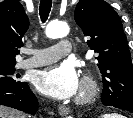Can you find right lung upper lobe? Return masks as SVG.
<instances>
[{
  "label": "right lung upper lobe",
  "instance_id": "1",
  "mask_svg": "<svg viewBox=\"0 0 133 118\" xmlns=\"http://www.w3.org/2000/svg\"><path fill=\"white\" fill-rule=\"evenodd\" d=\"M28 27V17L17 0L0 3V63H16L17 48L23 46L22 37Z\"/></svg>",
  "mask_w": 133,
  "mask_h": 118
}]
</instances>
